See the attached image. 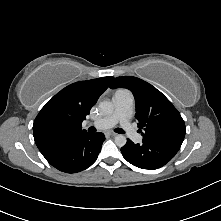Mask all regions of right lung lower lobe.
Instances as JSON below:
<instances>
[{
  "instance_id": "98d812e1",
  "label": "right lung lower lobe",
  "mask_w": 221,
  "mask_h": 221,
  "mask_svg": "<svg viewBox=\"0 0 221 221\" xmlns=\"http://www.w3.org/2000/svg\"><path fill=\"white\" fill-rule=\"evenodd\" d=\"M104 140L103 133H80L60 141L43 156L62 172H80L96 161Z\"/></svg>"
}]
</instances>
